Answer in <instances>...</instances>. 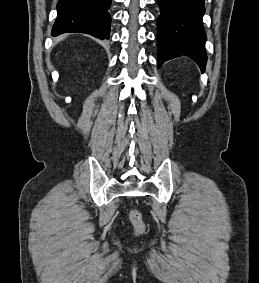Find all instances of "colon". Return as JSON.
Listing matches in <instances>:
<instances>
[{"label": "colon", "mask_w": 259, "mask_h": 283, "mask_svg": "<svg viewBox=\"0 0 259 283\" xmlns=\"http://www.w3.org/2000/svg\"><path fill=\"white\" fill-rule=\"evenodd\" d=\"M129 219L131 223L134 225L137 231H142L144 228V223L142 220V216L140 212L136 209H133L129 212Z\"/></svg>", "instance_id": "1"}]
</instances>
